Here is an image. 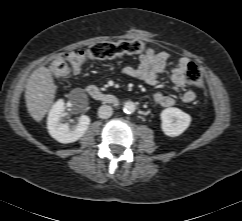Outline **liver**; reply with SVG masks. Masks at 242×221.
<instances>
[{"instance_id":"obj_1","label":"liver","mask_w":242,"mask_h":221,"mask_svg":"<svg viewBox=\"0 0 242 221\" xmlns=\"http://www.w3.org/2000/svg\"><path fill=\"white\" fill-rule=\"evenodd\" d=\"M57 86L51 70L41 66L29 77L26 85L25 100L30 116L40 122L53 104Z\"/></svg>"}]
</instances>
